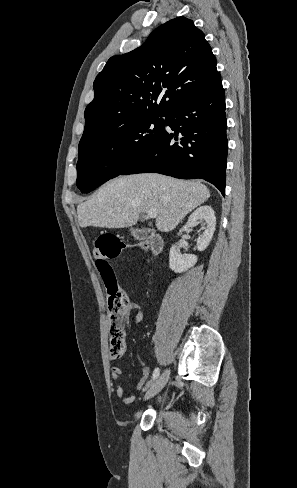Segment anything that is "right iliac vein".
<instances>
[{"instance_id": "obj_1", "label": "right iliac vein", "mask_w": 297, "mask_h": 488, "mask_svg": "<svg viewBox=\"0 0 297 488\" xmlns=\"http://www.w3.org/2000/svg\"><path fill=\"white\" fill-rule=\"evenodd\" d=\"M170 371L166 369L164 373L149 387L145 394V400L154 397L159 393L169 380Z\"/></svg>"}]
</instances>
